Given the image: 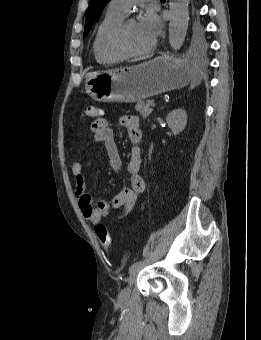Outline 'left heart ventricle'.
<instances>
[{
    "mask_svg": "<svg viewBox=\"0 0 261 340\" xmlns=\"http://www.w3.org/2000/svg\"><path fill=\"white\" fill-rule=\"evenodd\" d=\"M124 42L130 51H140L149 47L153 40L141 30L138 22H133L125 31Z\"/></svg>",
    "mask_w": 261,
    "mask_h": 340,
    "instance_id": "1",
    "label": "left heart ventricle"
}]
</instances>
